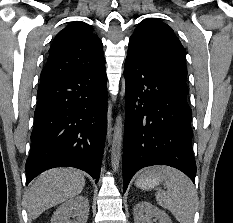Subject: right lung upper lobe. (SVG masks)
<instances>
[{
	"label": "right lung upper lobe",
	"mask_w": 233,
	"mask_h": 223,
	"mask_svg": "<svg viewBox=\"0 0 233 223\" xmlns=\"http://www.w3.org/2000/svg\"><path fill=\"white\" fill-rule=\"evenodd\" d=\"M105 66L102 42L91 26L74 22L53 40L40 82L53 81Z\"/></svg>",
	"instance_id": "obj_1"
}]
</instances>
